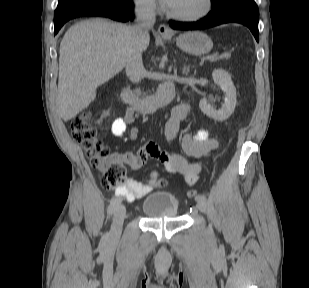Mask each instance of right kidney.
Wrapping results in <instances>:
<instances>
[{"instance_id": "obj_1", "label": "right kidney", "mask_w": 309, "mask_h": 288, "mask_svg": "<svg viewBox=\"0 0 309 288\" xmlns=\"http://www.w3.org/2000/svg\"><path fill=\"white\" fill-rule=\"evenodd\" d=\"M104 116H108L109 115V111H107V112H104V114H103Z\"/></svg>"}]
</instances>
